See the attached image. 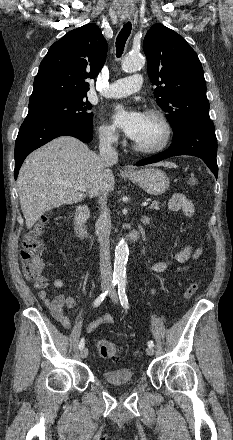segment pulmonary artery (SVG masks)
<instances>
[{
  "label": "pulmonary artery",
  "mask_w": 233,
  "mask_h": 440,
  "mask_svg": "<svg viewBox=\"0 0 233 440\" xmlns=\"http://www.w3.org/2000/svg\"><path fill=\"white\" fill-rule=\"evenodd\" d=\"M142 83V75L134 74L111 83L103 94L109 98L129 96L140 90Z\"/></svg>",
  "instance_id": "pulmonary-artery-1"
}]
</instances>
